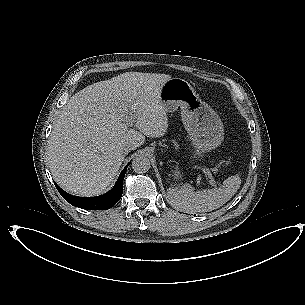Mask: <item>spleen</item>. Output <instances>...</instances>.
<instances>
[{"label": "spleen", "instance_id": "1", "mask_svg": "<svg viewBox=\"0 0 305 305\" xmlns=\"http://www.w3.org/2000/svg\"><path fill=\"white\" fill-rule=\"evenodd\" d=\"M231 180L239 181L238 176L226 179L219 188H213L195 192L193 187L185 184L180 189L169 188L167 196L170 204L186 213H202L222 207L234 195L230 189Z\"/></svg>", "mask_w": 305, "mask_h": 305}]
</instances>
